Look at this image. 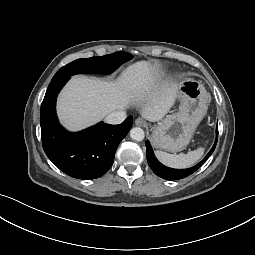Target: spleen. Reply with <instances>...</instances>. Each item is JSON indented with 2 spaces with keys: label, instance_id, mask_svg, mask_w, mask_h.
Here are the masks:
<instances>
[{
  "label": "spleen",
  "instance_id": "obj_1",
  "mask_svg": "<svg viewBox=\"0 0 255 255\" xmlns=\"http://www.w3.org/2000/svg\"><path fill=\"white\" fill-rule=\"evenodd\" d=\"M204 154V148L199 147L196 150L189 151L187 154H169L163 151H155L158 160L171 168H187L194 165Z\"/></svg>",
  "mask_w": 255,
  "mask_h": 255
}]
</instances>
